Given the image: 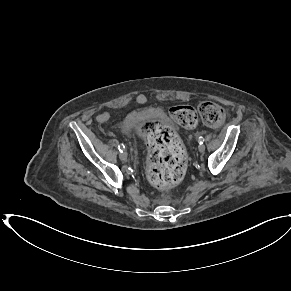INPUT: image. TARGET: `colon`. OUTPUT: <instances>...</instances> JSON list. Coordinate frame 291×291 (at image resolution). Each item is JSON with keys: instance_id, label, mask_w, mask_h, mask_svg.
Instances as JSON below:
<instances>
[{"instance_id": "5ec220e1", "label": "colon", "mask_w": 291, "mask_h": 291, "mask_svg": "<svg viewBox=\"0 0 291 291\" xmlns=\"http://www.w3.org/2000/svg\"><path fill=\"white\" fill-rule=\"evenodd\" d=\"M198 114L209 126L220 125L225 118L223 107L212 102H202L197 110L188 105H176L170 109L171 118L184 128H194ZM149 147L148 178L158 188H170L180 183L187 170V155L174 131L160 122L144 126Z\"/></svg>"}]
</instances>
